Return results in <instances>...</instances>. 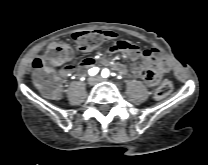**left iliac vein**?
I'll return each mask as SVG.
<instances>
[{"label":"left iliac vein","instance_id":"4c4485c4","mask_svg":"<svg viewBox=\"0 0 208 165\" xmlns=\"http://www.w3.org/2000/svg\"><path fill=\"white\" fill-rule=\"evenodd\" d=\"M97 79H98L99 81H101V80H102V78H99V77H98Z\"/></svg>","mask_w":208,"mask_h":165}]
</instances>
